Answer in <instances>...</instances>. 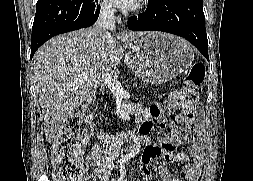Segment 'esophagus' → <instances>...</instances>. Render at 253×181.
<instances>
[{
    "instance_id": "34e87169",
    "label": "esophagus",
    "mask_w": 253,
    "mask_h": 181,
    "mask_svg": "<svg viewBox=\"0 0 253 181\" xmlns=\"http://www.w3.org/2000/svg\"><path fill=\"white\" fill-rule=\"evenodd\" d=\"M121 32H122V34H125V32H126V30H125V28H124L123 25H122V28H121Z\"/></svg>"
}]
</instances>
